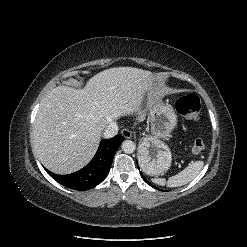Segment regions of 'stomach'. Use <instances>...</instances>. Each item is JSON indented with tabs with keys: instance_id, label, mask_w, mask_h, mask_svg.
<instances>
[{
	"instance_id": "0dacf381",
	"label": "stomach",
	"mask_w": 247,
	"mask_h": 247,
	"mask_svg": "<svg viewBox=\"0 0 247 247\" xmlns=\"http://www.w3.org/2000/svg\"><path fill=\"white\" fill-rule=\"evenodd\" d=\"M150 74L153 82H156L157 75ZM150 123L152 135L141 139L138 162L144 173L159 176L166 173L171 166L172 154L164 141L172 137L177 125V115L171 105L156 100L150 108Z\"/></svg>"
}]
</instances>
